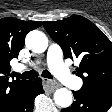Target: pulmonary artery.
Returning a JSON list of instances; mask_svg holds the SVG:
<instances>
[{
	"instance_id": "pulmonary-artery-1",
	"label": "pulmonary artery",
	"mask_w": 112,
	"mask_h": 112,
	"mask_svg": "<svg viewBox=\"0 0 112 112\" xmlns=\"http://www.w3.org/2000/svg\"><path fill=\"white\" fill-rule=\"evenodd\" d=\"M30 65L32 63H29ZM47 65L49 70L65 85L73 90H79L82 86V81L71 74L69 69L65 66L63 62V52L61 47L56 44H50L47 51ZM26 69V66L19 64L16 66L17 71H22Z\"/></svg>"
}]
</instances>
